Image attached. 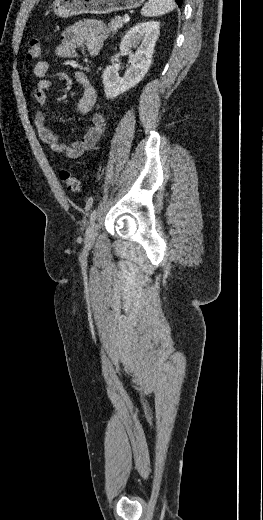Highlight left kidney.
<instances>
[{
    "label": "left kidney",
    "instance_id": "obj_1",
    "mask_svg": "<svg viewBox=\"0 0 263 520\" xmlns=\"http://www.w3.org/2000/svg\"><path fill=\"white\" fill-rule=\"evenodd\" d=\"M159 23L142 22L132 27L123 37L120 51L129 55L130 66L121 78L118 69L108 66L102 75L107 99H113L137 85L152 63L154 46L159 36ZM136 48L133 53L131 48Z\"/></svg>",
    "mask_w": 263,
    "mask_h": 520
}]
</instances>
